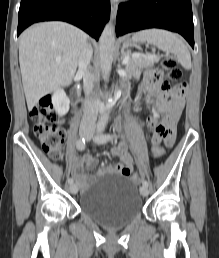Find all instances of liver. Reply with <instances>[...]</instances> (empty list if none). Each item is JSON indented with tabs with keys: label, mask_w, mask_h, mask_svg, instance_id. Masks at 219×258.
<instances>
[{
	"label": "liver",
	"mask_w": 219,
	"mask_h": 258,
	"mask_svg": "<svg viewBox=\"0 0 219 258\" xmlns=\"http://www.w3.org/2000/svg\"><path fill=\"white\" fill-rule=\"evenodd\" d=\"M87 35L67 23L33 25L19 38V63L27 106L72 81Z\"/></svg>",
	"instance_id": "6515ba94"
}]
</instances>
